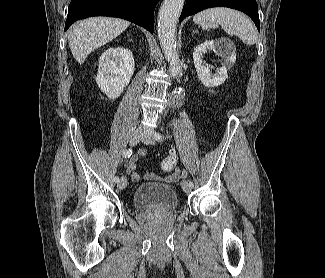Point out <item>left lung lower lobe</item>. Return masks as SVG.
Returning a JSON list of instances; mask_svg holds the SVG:
<instances>
[{"mask_svg":"<svg viewBox=\"0 0 325 278\" xmlns=\"http://www.w3.org/2000/svg\"><path fill=\"white\" fill-rule=\"evenodd\" d=\"M211 7H229L246 13L255 23L260 32L258 6L256 0H186L180 20Z\"/></svg>","mask_w":325,"mask_h":278,"instance_id":"obj_1","label":"left lung lower lobe"}]
</instances>
